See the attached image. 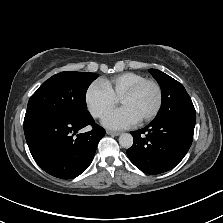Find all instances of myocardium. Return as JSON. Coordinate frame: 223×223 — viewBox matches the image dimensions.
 Segmentation results:
<instances>
[{"instance_id":"f54148a6","label":"myocardium","mask_w":223,"mask_h":223,"mask_svg":"<svg viewBox=\"0 0 223 223\" xmlns=\"http://www.w3.org/2000/svg\"><path fill=\"white\" fill-rule=\"evenodd\" d=\"M145 85H151L155 89L156 102H155V106L152 109V111L148 115H146L145 117L138 120L140 122L149 121V120L153 119L158 114V112L161 108V105H162V90H161V87L158 84V82H156L153 79H144V80L138 82L137 84H135L133 87H131L129 90L124 92L119 97V100L122 99V98L131 97V96L135 95Z\"/></svg>"}]
</instances>
